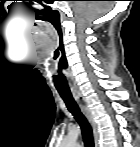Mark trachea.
<instances>
[{
    "mask_svg": "<svg viewBox=\"0 0 140 147\" xmlns=\"http://www.w3.org/2000/svg\"><path fill=\"white\" fill-rule=\"evenodd\" d=\"M59 94L64 100L68 110L72 113V115L81 127L85 147H94L93 132L91 125L88 122L87 118L84 116V114L81 112L74 97L70 93L60 92Z\"/></svg>",
    "mask_w": 140,
    "mask_h": 147,
    "instance_id": "obj_1",
    "label": "trachea"
}]
</instances>
